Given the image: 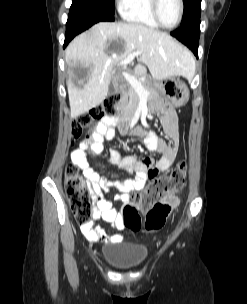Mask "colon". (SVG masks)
I'll return each instance as SVG.
<instances>
[{
    "instance_id": "obj_1",
    "label": "colon",
    "mask_w": 247,
    "mask_h": 304,
    "mask_svg": "<svg viewBox=\"0 0 247 304\" xmlns=\"http://www.w3.org/2000/svg\"><path fill=\"white\" fill-rule=\"evenodd\" d=\"M120 100L118 93L108 95L105 100L90 111L82 113L72 122V138L82 142L90 138V133L100 122L116 113ZM186 163L181 161L176 168L164 176L153 177L149 186L134 196V202L127 203L123 210L125 225L137 231L141 227L140 209L146 212L144 227L148 231L161 229L178 199L172 193L180 190L185 182ZM65 188L71 210L80 225H86L92 219V203L89 197L90 188L86 180L74 166L65 171Z\"/></svg>"
}]
</instances>
